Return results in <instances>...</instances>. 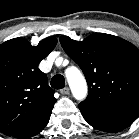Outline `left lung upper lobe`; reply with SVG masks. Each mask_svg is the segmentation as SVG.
<instances>
[{"label":"left lung upper lobe","instance_id":"5c2ea615","mask_svg":"<svg viewBox=\"0 0 139 139\" xmlns=\"http://www.w3.org/2000/svg\"><path fill=\"white\" fill-rule=\"evenodd\" d=\"M60 43L88 83L89 94L79 105L96 110L139 106V50L133 44L105 33L80 42L61 36Z\"/></svg>","mask_w":139,"mask_h":139}]
</instances>
